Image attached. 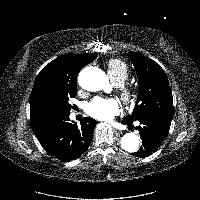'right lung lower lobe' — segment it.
Listing matches in <instances>:
<instances>
[{"label":"right lung lower lobe","mask_w":200,"mask_h":200,"mask_svg":"<svg viewBox=\"0 0 200 200\" xmlns=\"http://www.w3.org/2000/svg\"><path fill=\"white\" fill-rule=\"evenodd\" d=\"M69 113L30 115L31 127L42 147L52 156L70 161L90 146L96 121L85 117L81 125L70 122Z\"/></svg>","instance_id":"right-lung-lower-lobe-1"}]
</instances>
